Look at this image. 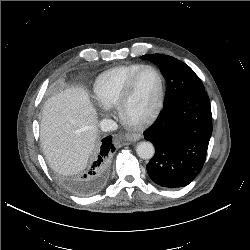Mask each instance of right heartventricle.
Returning a JSON list of instances; mask_svg holds the SVG:
<instances>
[{
	"mask_svg": "<svg viewBox=\"0 0 250 250\" xmlns=\"http://www.w3.org/2000/svg\"><path fill=\"white\" fill-rule=\"evenodd\" d=\"M143 66L122 65L100 74L93 88L96 102L106 108L116 106L130 78Z\"/></svg>",
	"mask_w": 250,
	"mask_h": 250,
	"instance_id": "obj_1",
	"label": "right heart ventricle"
}]
</instances>
